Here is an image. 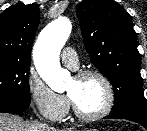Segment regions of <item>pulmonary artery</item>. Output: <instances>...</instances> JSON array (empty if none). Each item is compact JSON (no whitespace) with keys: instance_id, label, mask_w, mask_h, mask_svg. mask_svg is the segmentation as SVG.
<instances>
[{"instance_id":"obj_1","label":"pulmonary artery","mask_w":147,"mask_h":131,"mask_svg":"<svg viewBox=\"0 0 147 131\" xmlns=\"http://www.w3.org/2000/svg\"><path fill=\"white\" fill-rule=\"evenodd\" d=\"M61 58L63 63L69 68L74 70L78 68V57L74 49L71 47H66L62 50Z\"/></svg>"}]
</instances>
